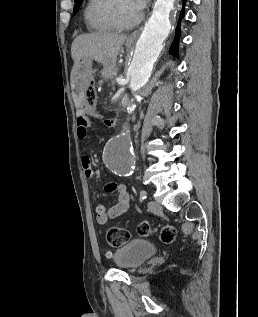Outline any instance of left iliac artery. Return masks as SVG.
<instances>
[{
    "instance_id": "44dca946",
    "label": "left iliac artery",
    "mask_w": 258,
    "mask_h": 317,
    "mask_svg": "<svg viewBox=\"0 0 258 317\" xmlns=\"http://www.w3.org/2000/svg\"><path fill=\"white\" fill-rule=\"evenodd\" d=\"M147 195H148V193H147L146 190H142V191L140 192V197H141V199H146V198H147Z\"/></svg>"
}]
</instances>
